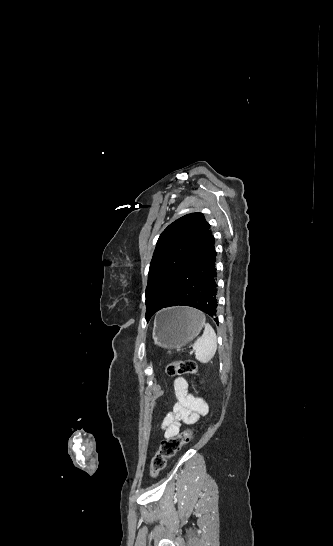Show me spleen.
Here are the masks:
<instances>
[{
	"instance_id": "3e777b00",
	"label": "spleen",
	"mask_w": 333,
	"mask_h": 546,
	"mask_svg": "<svg viewBox=\"0 0 333 546\" xmlns=\"http://www.w3.org/2000/svg\"><path fill=\"white\" fill-rule=\"evenodd\" d=\"M200 313L205 319V315L202 312ZM193 348L195 358L199 362L206 363L213 358L217 350V336L210 324L205 323L203 335L195 341Z\"/></svg>"
}]
</instances>
